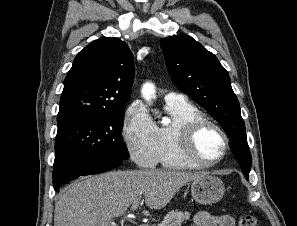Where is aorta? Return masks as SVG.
Here are the masks:
<instances>
[{"instance_id": "1", "label": "aorta", "mask_w": 297, "mask_h": 226, "mask_svg": "<svg viewBox=\"0 0 297 226\" xmlns=\"http://www.w3.org/2000/svg\"><path fill=\"white\" fill-rule=\"evenodd\" d=\"M142 97L147 101L151 102L153 95L155 94V88L152 84L145 83L141 90Z\"/></svg>"}]
</instances>
